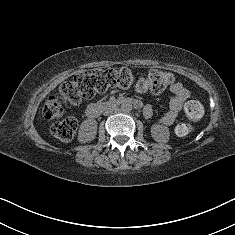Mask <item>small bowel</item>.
<instances>
[{"instance_id": "c3829d8e", "label": "small bowel", "mask_w": 235, "mask_h": 235, "mask_svg": "<svg viewBox=\"0 0 235 235\" xmlns=\"http://www.w3.org/2000/svg\"><path fill=\"white\" fill-rule=\"evenodd\" d=\"M173 97L169 103V110L159 119V123L169 126L173 124L180 113L182 106L190 97V92L180 82H173L170 86ZM154 113L153 106L148 104L143 108V114L146 118H150Z\"/></svg>"}]
</instances>
